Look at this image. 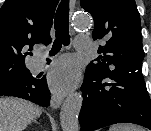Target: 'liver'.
Masks as SVG:
<instances>
[{
	"instance_id": "6515ba94",
	"label": "liver",
	"mask_w": 151,
	"mask_h": 131,
	"mask_svg": "<svg viewBox=\"0 0 151 131\" xmlns=\"http://www.w3.org/2000/svg\"><path fill=\"white\" fill-rule=\"evenodd\" d=\"M42 114L35 104L18 98H0V131H24Z\"/></svg>"
}]
</instances>
